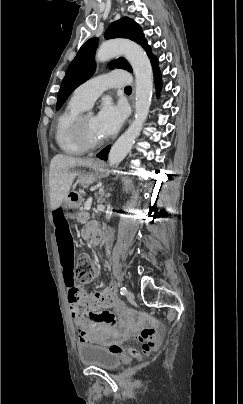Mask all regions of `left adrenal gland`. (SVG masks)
<instances>
[{
    "label": "left adrenal gland",
    "mask_w": 243,
    "mask_h": 404,
    "mask_svg": "<svg viewBox=\"0 0 243 404\" xmlns=\"http://www.w3.org/2000/svg\"><path fill=\"white\" fill-rule=\"evenodd\" d=\"M99 194H100V198H99L98 202H104V200H103V196H104V194H105V192H104V186H102V188H100Z\"/></svg>",
    "instance_id": "left-adrenal-gland-1"
}]
</instances>
